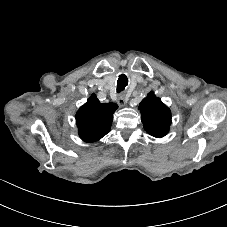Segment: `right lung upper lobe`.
<instances>
[{"label": "right lung upper lobe", "mask_w": 227, "mask_h": 227, "mask_svg": "<svg viewBox=\"0 0 227 227\" xmlns=\"http://www.w3.org/2000/svg\"><path fill=\"white\" fill-rule=\"evenodd\" d=\"M115 103H100L93 94L76 114L79 136L85 142H95L105 136L112 124Z\"/></svg>", "instance_id": "1"}]
</instances>
